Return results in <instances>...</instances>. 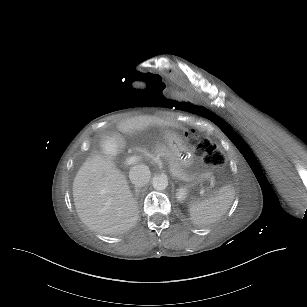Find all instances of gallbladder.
Instances as JSON below:
<instances>
[{
    "label": "gallbladder",
    "mask_w": 307,
    "mask_h": 307,
    "mask_svg": "<svg viewBox=\"0 0 307 307\" xmlns=\"http://www.w3.org/2000/svg\"><path fill=\"white\" fill-rule=\"evenodd\" d=\"M123 146V138L118 133H112L105 137L102 141V147L104 152L110 154L119 153L120 149Z\"/></svg>",
    "instance_id": "1"
}]
</instances>
